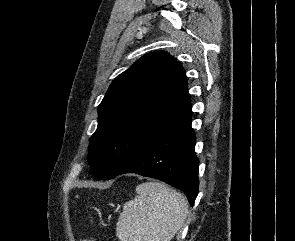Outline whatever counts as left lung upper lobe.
Listing matches in <instances>:
<instances>
[{
	"mask_svg": "<svg viewBox=\"0 0 295 241\" xmlns=\"http://www.w3.org/2000/svg\"><path fill=\"white\" fill-rule=\"evenodd\" d=\"M182 65L164 51L143 56L110 85L98 107V127L90 138L92 173L110 179L163 132L191 114Z\"/></svg>",
	"mask_w": 295,
	"mask_h": 241,
	"instance_id": "obj_1",
	"label": "left lung upper lobe"
}]
</instances>
